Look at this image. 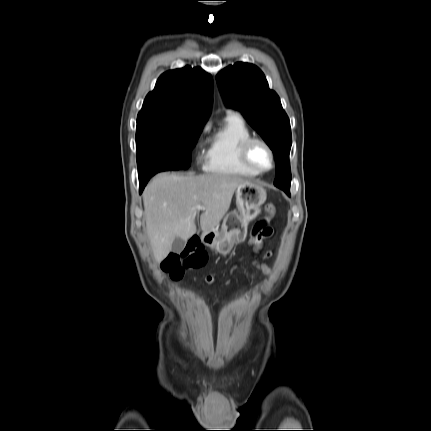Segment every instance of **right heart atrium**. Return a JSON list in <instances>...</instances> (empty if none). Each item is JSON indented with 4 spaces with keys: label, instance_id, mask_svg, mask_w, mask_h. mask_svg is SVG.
Returning a JSON list of instances; mask_svg holds the SVG:
<instances>
[{
    "label": "right heart atrium",
    "instance_id": "right-heart-atrium-1",
    "mask_svg": "<svg viewBox=\"0 0 431 431\" xmlns=\"http://www.w3.org/2000/svg\"><path fill=\"white\" fill-rule=\"evenodd\" d=\"M205 131H206V126H203L201 128V130H200V132H199L196 140H195L194 146H195L196 149L201 148V146L203 144V135H204ZM200 159H201V157H198V160H200Z\"/></svg>",
    "mask_w": 431,
    "mask_h": 431
}]
</instances>
